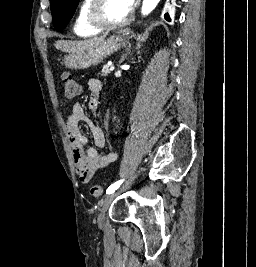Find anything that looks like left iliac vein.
<instances>
[{"mask_svg":"<svg viewBox=\"0 0 256 267\" xmlns=\"http://www.w3.org/2000/svg\"><path fill=\"white\" fill-rule=\"evenodd\" d=\"M118 191L113 192L109 195H107L101 205V209H100V213L98 215L97 221L99 225H103L104 221H105V211L109 208L111 202L113 201V199L117 196Z\"/></svg>","mask_w":256,"mask_h":267,"instance_id":"1","label":"left iliac vein"}]
</instances>
